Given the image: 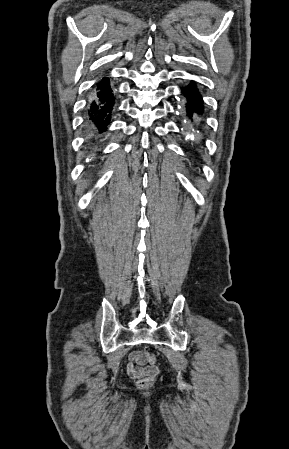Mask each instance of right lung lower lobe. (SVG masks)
<instances>
[{
    "instance_id": "obj_1",
    "label": "right lung lower lobe",
    "mask_w": 289,
    "mask_h": 449,
    "mask_svg": "<svg viewBox=\"0 0 289 449\" xmlns=\"http://www.w3.org/2000/svg\"><path fill=\"white\" fill-rule=\"evenodd\" d=\"M114 103L109 78L104 77L96 84V91L92 95L88 110L89 124L95 125L99 133L107 129Z\"/></svg>"
}]
</instances>
